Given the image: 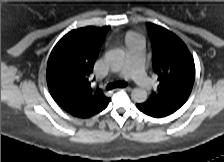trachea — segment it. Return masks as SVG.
<instances>
[{"label":"trachea","instance_id":"trachea-1","mask_svg":"<svg viewBox=\"0 0 224 162\" xmlns=\"http://www.w3.org/2000/svg\"><path fill=\"white\" fill-rule=\"evenodd\" d=\"M125 86H127V83L125 81H118V82H114V83H109L107 85V89L112 90V89L117 88V87L122 88V87H125Z\"/></svg>","mask_w":224,"mask_h":162}]
</instances>
